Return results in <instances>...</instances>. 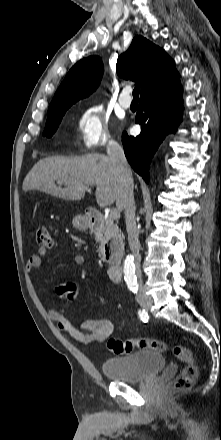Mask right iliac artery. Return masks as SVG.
<instances>
[{
    "label": "right iliac artery",
    "mask_w": 221,
    "mask_h": 440,
    "mask_svg": "<svg viewBox=\"0 0 221 440\" xmlns=\"http://www.w3.org/2000/svg\"><path fill=\"white\" fill-rule=\"evenodd\" d=\"M138 315H139V317H140V319L142 321H144V322L148 321L149 316H148V313L145 310H139L138 311Z\"/></svg>",
    "instance_id": "right-iliac-artery-1"
}]
</instances>
